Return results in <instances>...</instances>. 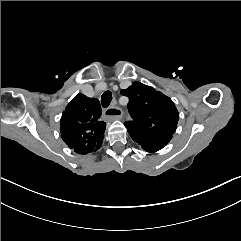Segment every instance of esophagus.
Listing matches in <instances>:
<instances>
[{"instance_id":"34e87169","label":"esophagus","mask_w":241,"mask_h":241,"mask_svg":"<svg viewBox=\"0 0 241 241\" xmlns=\"http://www.w3.org/2000/svg\"><path fill=\"white\" fill-rule=\"evenodd\" d=\"M103 114L107 119H121L122 109L112 104L104 110Z\"/></svg>"}]
</instances>
